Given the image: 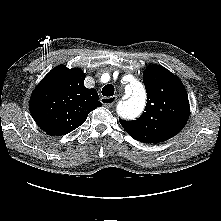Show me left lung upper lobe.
I'll list each match as a JSON object with an SVG mask.
<instances>
[{
	"label": "left lung upper lobe",
	"instance_id": "obj_1",
	"mask_svg": "<svg viewBox=\"0 0 221 221\" xmlns=\"http://www.w3.org/2000/svg\"><path fill=\"white\" fill-rule=\"evenodd\" d=\"M147 92L145 112L137 120L119 119L126 132L144 143H159L178 134L189 117V101L180 79L161 65L143 73Z\"/></svg>",
	"mask_w": 221,
	"mask_h": 221
}]
</instances>
